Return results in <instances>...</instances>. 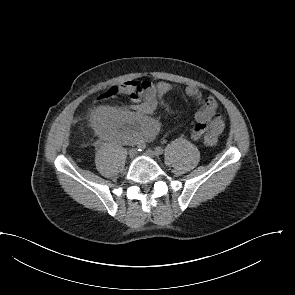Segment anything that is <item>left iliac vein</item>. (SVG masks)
<instances>
[{"mask_svg": "<svg viewBox=\"0 0 295 295\" xmlns=\"http://www.w3.org/2000/svg\"><path fill=\"white\" fill-rule=\"evenodd\" d=\"M145 155L148 156V157L153 158V157L156 156V152H155L154 150H152V149H147V150L145 151Z\"/></svg>", "mask_w": 295, "mask_h": 295, "instance_id": "obj_1", "label": "left iliac vein"}]
</instances>
